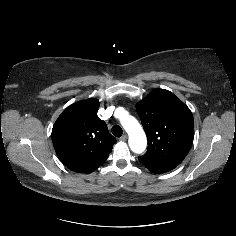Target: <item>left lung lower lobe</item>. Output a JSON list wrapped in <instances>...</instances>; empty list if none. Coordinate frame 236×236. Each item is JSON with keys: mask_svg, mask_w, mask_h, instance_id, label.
<instances>
[{"mask_svg": "<svg viewBox=\"0 0 236 236\" xmlns=\"http://www.w3.org/2000/svg\"><path fill=\"white\" fill-rule=\"evenodd\" d=\"M149 170H150L151 172H153V173H157V174L167 172V171H156V170H152V169H149Z\"/></svg>", "mask_w": 236, "mask_h": 236, "instance_id": "1", "label": "left lung lower lobe"}]
</instances>
